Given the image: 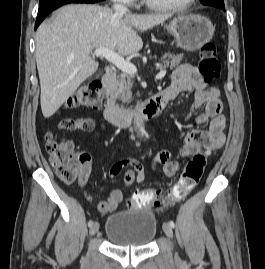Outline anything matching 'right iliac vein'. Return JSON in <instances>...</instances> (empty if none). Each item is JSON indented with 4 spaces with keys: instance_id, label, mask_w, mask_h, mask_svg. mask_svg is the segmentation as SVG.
<instances>
[{
    "instance_id": "1",
    "label": "right iliac vein",
    "mask_w": 265,
    "mask_h": 269,
    "mask_svg": "<svg viewBox=\"0 0 265 269\" xmlns=\"http://www.w3.org/2000/svg\"><path fill=\"white\" fill-rule=\"evenodd\" d=\"M98 230H99V224L97 222L93 223L89 230L90 235H95Z\"/></svg>"
}]
</instances>
